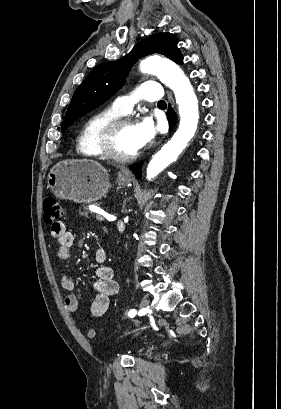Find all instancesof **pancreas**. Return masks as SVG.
<instances>
[{"mask_svg": "<svg viewBox=\"0 0 281 409\" xmlns=\"http://www.w3.org/2000/svg\"><path fill=\"white\" fill-rule=\"evenodd\" d=\"M80 215H83V217H87V219H90L88 209L87 207H84V205H83V211H80ZM97 221H99L98 218H97Z\"/></svg>", "mask_w": 281, "mask_h": 409, "instance_id": "obj_1", "label": "pancreas"}]
</instances>
